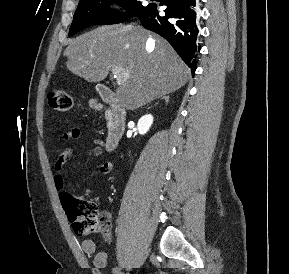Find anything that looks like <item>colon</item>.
<instances>
[{"label":"colon","instance_id":"5ec220e1","mask_svg":"<svg viewBox=\"0 0 289 274\" xmlns=\"http://www.w3.org/2000/svg\"><path fill=\"white\" fill-rule=\"evenodd\" d=\"M47 100L49 106L55 111L65 112L73 107L72 96L64 90L49 91ZM91 107L95 110L99 109V105L95 102L91 103ZM61 200L78 235L99 233L106 236L109 233L111 215L108 212H101L94 201L67 192L62 194Z\"/></svg>","mask_w":289,"mask_h":274}]
</instances>
